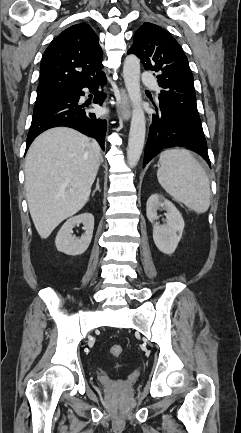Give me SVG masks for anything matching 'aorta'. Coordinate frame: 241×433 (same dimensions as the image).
I'll return each instance as SVG.
<instances>
[{"mask_svg":"<svg viewBox=\"0 0 241 433\" xmlns=\"http://www.w3.org/2000/svg\"><path fill=\"white\" fill-rule=\"evenodd\" d=\"M123 78L129 98L133 104L127 160L130 167H135L141 157L146 134V121L142 108L140 87V60L135 55H128L126 57L123 66Z\"/></svg>","mask_w":241,"mask_h":433,"instance_id":"1","label":"aorta"}]
</instances>
